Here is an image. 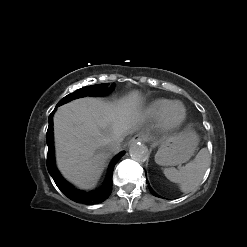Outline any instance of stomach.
Here are the masks:
<instances>
[{
  "label": "stomach",
  "instance_id": "stomach-1",
  "mask_svg": "<svg viewBox=\"0 0 247 247\" xmlns=\"http://www.w3.org/2000/svg\"><path fill=\"white\" fill-rule=\"evenodd\" d=\"M199 142L198 135L193 130L166 140L158 150L156 162L164 166H175L188 161L194 154Z\"/></svg>",
  "mask_w": 247,
  "mask_h": 247
}]
</instances>
